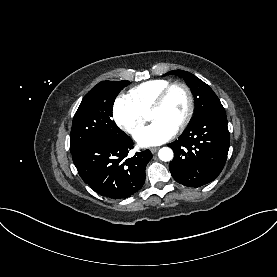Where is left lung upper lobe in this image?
Instances as JSON below:
<instances>
[{
	"mask_svg": "<svg viewBox=\"0 0 277 277\" xmlns=\"http://www.w3.org/2000/svg\"><path fill=\"white\" fill-rule=\"evenodd\" d=\"M166 74H174L183 78L186 84L190 87L195 99V112L193 120L198 118L213 106L221 104L219 98L213 90L195 75L183 70H174Z\"/></svg>",
	"mask_w": 277,
	"mask_h": 277,
	"instance_id": "5c2ea615",
	"label": "left lung upper lobe"
}]
</instances>
